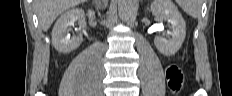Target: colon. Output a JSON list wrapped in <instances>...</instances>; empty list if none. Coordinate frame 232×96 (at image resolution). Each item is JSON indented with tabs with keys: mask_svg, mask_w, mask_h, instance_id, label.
Listing matches in <instances>:
<instances>
[{
	"mask_svg": "<svg viewBox=\"0 0 232 96\" xmlns=\"http://www.w3.org/2000/svg\"><path fill=\"white\" fill-rule=\"evenodd\" d=\"M183 61L184 62L187 61L186 54H183ZM166 76L169 80V85L171 90L177 92L182 88L183 75L181 69L178 66L176 65L169 66L166 70Z\"/></svg>",
	"mask_w": 232,
	"mask_h": 96,
	"instance_id": "obj_1",
	"label": "colon"
}]
</instances>
